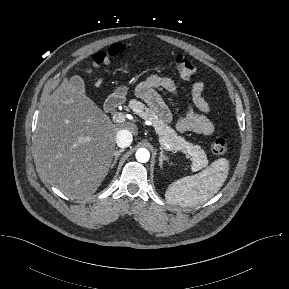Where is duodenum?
<instances>
[{
  "instance_id": "1",
  "label": "duodenum",
  "mask_w": 289,
  "mask_h": 289,
  "mask_svg": "<svg viewBox=\"0 0 289 289\" xmlns=\"http://www.w3.org/2000/svg\"><path fill=\"white\" fill-rule=\"evenodd\" d=\"M122 104V98L119 95L110 96L105 102L107 112H113Z\"/></svg>"
}]
</instances>
